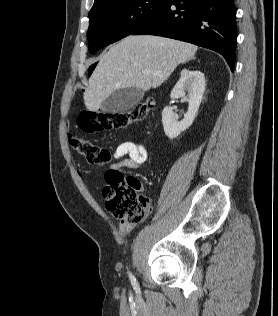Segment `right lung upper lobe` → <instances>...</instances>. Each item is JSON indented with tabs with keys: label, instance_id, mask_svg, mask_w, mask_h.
<instances>
[{
	"label": "right lung upper lobe",
	"instance_id": "1",
	"mask_svg": "<svg viewBox=\"0 0 278 316\" xmlns=\"http://www.w3.org/2000/svg\"><path fill=\"white\" fill-rule=\"evenodd\" d=\"M104 1H107V0H95L93 7L98 5V4H100V3H102V2H104Z\"/></svg>",
	"mask_w": 278,
	"mask_h": 316
}]
</instances>
